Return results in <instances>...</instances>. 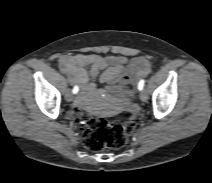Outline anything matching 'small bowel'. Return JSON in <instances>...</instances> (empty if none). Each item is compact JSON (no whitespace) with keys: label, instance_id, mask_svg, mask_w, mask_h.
Returning <instances> with one entry per match:
<instances>
[{"label":"small bowel","instance_id":"1","mask_svg":"<svg viewBox=\"0 0 212 183\" xmlns=\"http://www.w3.org/2000/svg\"><path fill=\"white\" fill-rule=\"evenodd\" d=\"M61 70L71 83H78L80 94L74 101L75 108L86 106L95 91L94 80L99 76L102 84H137L139 79L151 71V62L144 56L127 58L118 54L64 55L59 60Z\"/></svg>","mask_w":212,"mask_h":183}]
</instances>
